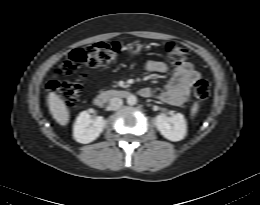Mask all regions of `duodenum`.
<instances>
[{"mask_svg":"<svg viewBox=\"0 0 260 205\" xmlns=\"http://www.w3.org/2000/svg\"><path fill=\"white\" fill-rule=\"evenodd\" d=\"M129 96V92L122 89H110L101 92L94 97V103L98 106L103 105L112 98H126Z\"/></svg>","mask_w":260,"mask_h":205,"instance_id":"duodenum-1","label":"duodenum"}]
</instances>
